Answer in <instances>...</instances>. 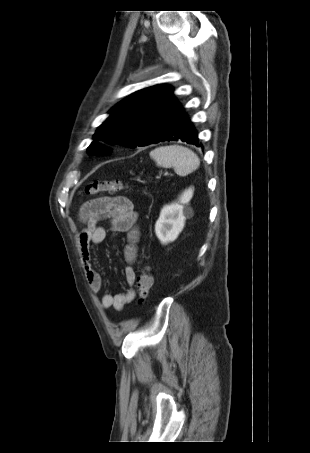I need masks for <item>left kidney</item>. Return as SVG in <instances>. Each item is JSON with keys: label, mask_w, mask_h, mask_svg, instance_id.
Listing matches in <instances>:
<instances>
[{"label": "left kidney", "mask_w": 310, "mask_h": 453, "mask_svg": "<svg viewBox=\"0 0 310 453\" xmlns=\"http://www.w3.org/2000/svg\"><path fill=\"white\" fill-rule=\"evenodd\" d=\"M193 192V188L185 190L178 202L162 208L155 224V233L163 245L175 241L184 228L186 218L193 216V209L188 206Z\"/></svg>", "instance_id": "left-kidney-1"}]
</instances>
